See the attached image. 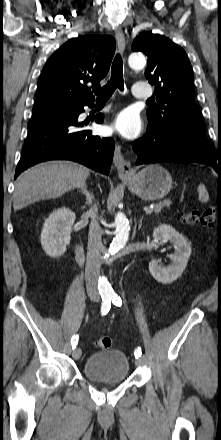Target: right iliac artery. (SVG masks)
Returning a JSON list of instances; mask_svg holds the SVG:
<instances>
[{
	"label": "right iliac artery",
	"mask_w": 221,
	"mask_h": 440,
	"mask_svg": "<svg viewBox=\"0 0 221 440\" xmlns=\"http://www.w3.org/2000/svg\"><path fill=\"white\" fill-rule=\"evenodd\" d=\"M110 307H111V298L103 297L102 305H101V314L106 315L110 310ZM77 343H78V336H73L71 339L72 349H75Z\"/></svg>",
	"instance_id": "obj_1"
}]
</instances>
